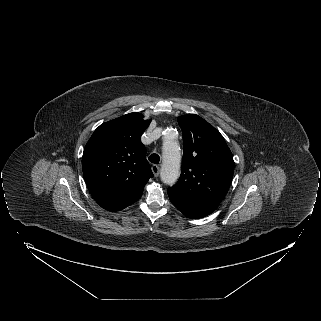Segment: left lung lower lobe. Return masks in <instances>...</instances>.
<instances>
[{"label":"left lung lower lobe","instance_id":"1","mask_svg":"<svg viewBox=\"0 0 321 321\" xmlns=\"http://www.w3.org/2000/svg\"><path fill=\"white\" fill-rule=\"evenodd\" d=\"M168 196L172 204L180 212L192 219L205 217L214 212L218 207V204L192 200L170 189H168Z\"/></svg>","mask_w":321,"mask_h":321}]
</instances>
